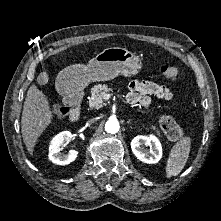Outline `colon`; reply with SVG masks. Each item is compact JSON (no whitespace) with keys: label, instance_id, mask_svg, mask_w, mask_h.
Listing matches in <instances>:
<instances>
[{"label":"colon","instance_id":"5ec220e1","mask_svg":"<svg viewBox=\"0 0 221 221\" xmlns=\"http://www.w3.org/2000/svg\"><path fill=\"white\" fill-rule=\"evenodd\" d=\"M162 77L167 80L174 82L179 79L181 75V69L176 64L165 65L161 69ZM68 113V109L60 105L51 106V114L54 120H62ZM161 128L166 137L171 141H177L185 135V130L178 125L175 120L169 115H163L160 119Z\"/></svg>","mask_w":221,"mask_h":221}]
</instances>
